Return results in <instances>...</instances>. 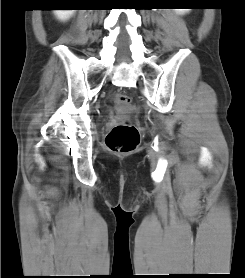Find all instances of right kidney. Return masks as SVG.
Masks as SVG:
<instances>
[{
  "label": "right kidney",
  "mask_w": 245,
  "mask_h": 278,
  "mask_svg": "<svg viewBox=\"0 0 245 278\" xmlns=\"http://www.w3.org/2000/svg\"><path fill=\"white\" fill-rule=\"evenodd\" d=\"M75 10H54V14L60 20H67L70 18Z\"/></svg>",
  "instance_id": "ca27d5eb"
}]
</instances>
